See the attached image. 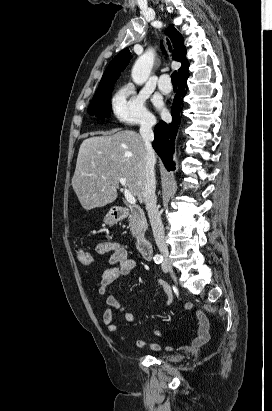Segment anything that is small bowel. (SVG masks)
I'll return each mask as SVG.
<instances>
[{
    "instance_id": "small-bowel-1",
    "label": "small bowel",
    "mask_w": 272,
    "mask_h": 411,
    "mask_svg": "<svg viewBox=\"0 0 272 411\" xmlns=\"http://www.w3.org/2000/svg\"><path fill=\"white\" fill-rule=\"evenodd\" d=\"M96 252L98 254H110L109 267L104 270L102 279L98 287V293L105 296L107 308L104 310L102 318L104 324L107 326L108 331L111 334H117L119 332L118 326L114 322L113 310H118L122 313L121 320L128 323H135V316L127 311L125 307L111 294H108V287L116 280L128 277L137 266V261L129 257L130 249L127 245L115 242V241H101L96 246ZM163 286V289L167 295L165 306H170L173 301V296L170 287L163 283L162 280H157ZM186 310H193L199 321L198 336L191 342L188 350H196L200 346L206 344L209 341V322L205 314L197 309L193 304L188 303L185 305ZM154 336H160L158 331H153ZM132 339L139 348L148 347L154 351L160 350L159 344L155 342H149L144 339L133 336ZM167 350H172L171 347H167Z\"/></svg>"
}]
</instances>
